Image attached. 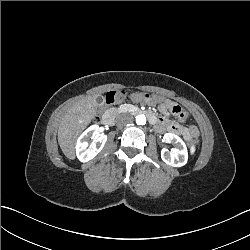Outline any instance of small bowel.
<instances>
[{
  "mask_svg": "<svg viewBox=\"0 0 250 250\" xmlns=\"http://www.w3.org/2000/svg\"><path fill=\"white\" fill-rule=\"evenodd\" d=\"M132 98H133V100H141V99H139L138 93H134L132 95ZM162 105L165 106L166 109H170V111L173 112V113H174V108L179 107V106L173 105L169 101H164L162 103ZM180 110H181V113H183L186 116V118H187V113L184 112L183 109H181V108H180ZM174 114H176V113H174ZM176 115L178 116V114H176ZM148 117L151 118V119H153V115L152 114H149ZM160 123H161L162 126H165V127L167 126V122H165V121L157 122V125H159ZM169 126L175 132H182L183 131V127L181 125H179V124H170ZM187 135L189 137H196L198 135L197 128L195 126H191L190 128H188Z\"/></svg>",
  "mask_w": 250,
  "mask_h": 250,
  "instance_id": "obj_1",
  "label": "small bowel"
}]
</instances>
